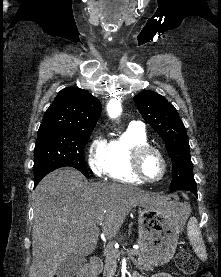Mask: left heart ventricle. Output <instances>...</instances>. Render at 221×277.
<instances>
[{
  "label": "left heart ventricle",
  "instance_id": "1",
  "mask_svg": "<svg viewBox=\"0 0 221 277\" xmlns=\"http://www.w3.org/2000/svg\"><path fill=\"white\" fill-rule=\"evenodd\" d=\"M142 169L145 176L149 179H157L162 173V162L157 154L149 153L142 162Z\"/></svg>",
  "mask_w": 221,
  "mask_h": 277
}]
</instances>
